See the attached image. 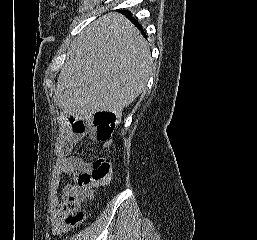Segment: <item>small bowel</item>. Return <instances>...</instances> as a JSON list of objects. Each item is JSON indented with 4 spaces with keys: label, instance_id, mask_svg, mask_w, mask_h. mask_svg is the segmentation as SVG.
<instances>
[{
    "label": "small bowel",
    "instance_id": "c3829d8e",
    "mask_svg": "<svg viewBox=\"0 0 257 240\" xmlns=\"http://www.w3.org/2000/svg\"><path fill=\"white\" fill-rule=\"evenodd\" d=\"M93 140H97L94 133L89 134ZM83 138V135L75 134L67 127L60 131L56 146V161L53 168L52 181L54 189L59 188L64 175H70L77 179L81 174L87 173L91 169V163L73 154L75 145ZM101 147L107 149L111 147V141L101 142ZM74 188V185L67 184L62 189V195H66ZM50 228L54 236H61L69 230V225L63 219L58 200L54 201L50 207Z\"/></svg>",
    "mask_w": 257,
    "mask_h": 240
}]
</instances>
